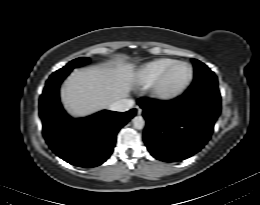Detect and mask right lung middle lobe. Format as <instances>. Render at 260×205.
Wrapping results in <instances>:
<instances>
[{
  "mask_svg": "<svg viewBox=\"0 0 260 205\" xmlns=\"http://www.w3.org/2000/svg\"><path fill=\"white\" fill-rule=\"evenodd\" d=\"M89 62V59L87 57H81L77 58L71 62H69L65 67L58 70L59 72L65 71V70H72L75 67L82 66L84 64H87Z\"/></svg>",
  "mask_w": 260,
  "mask_h": 205,
  "instance_id": "1",
  "label": "right lung middle lobe"
}]
</instances>
